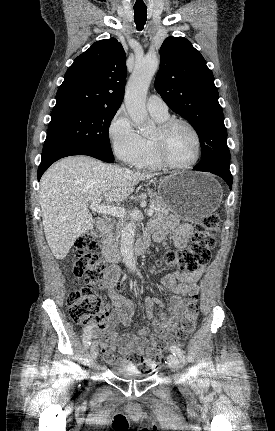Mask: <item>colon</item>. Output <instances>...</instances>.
<instances>
[{"instance_id":"1","label":"colon","mask_w":275,"mask_h":431,"mask_svg":"<svg viewBox=\"0 0 275 431\" xmlns=\"http://www.w3.org/2000/svg\"><path fill=\"white\" fill-rule=\"evenodd\" d=\"M219 230V217L208 215L196 223V231L190 246L182 250H169L165 253L163 263L169 267L192 272L203 265L210 258L211 250L215 247V236ZM97 240L93 233L80 236L73 251V274L83 278L85 284L79 289L69 292L66 304L71 319L79 324L92 325L95 329L106 326L107 312L102 298L96 293L98 287H105L104 276L106 263L97 253ZM123 287V283L119 285ZM197 295H194L176 330L165 335L152 336V346L144 355L133 356V362L143 372L154 371L159 365L162 352L170 344L184 340L195 329L199 315Z\"/></svg>"}]
</instances>
